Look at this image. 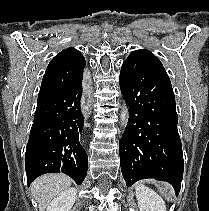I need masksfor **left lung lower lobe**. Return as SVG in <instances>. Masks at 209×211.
<instances>
[{"label": "left lung lower lobe", "mask_w": 209, "mask_h": 211, "mask_svg": "<svg viewBox=\"0 0 209 211\" xmlns=\"http://www.w3.org/2000/svg\"><path fill=\"white\" fill-rule=\"evenodd\" d=\"M119 82L130 107L129 122L119 140L121 171L127 186L154 178L172 184L178 195L184 162L168 75L141 56L130 54L122 64Z\"/></svg>", "instance_id": "left-lung-lower-lobe-1"}]
</instances>
